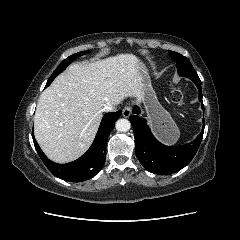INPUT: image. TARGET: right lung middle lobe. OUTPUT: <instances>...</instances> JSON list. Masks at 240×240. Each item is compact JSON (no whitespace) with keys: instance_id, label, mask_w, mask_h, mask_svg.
<instances>
[{"instance_id":"obj_1","label":"right lung middle lobe","mask_w":240,"mask_h":240,"mask_svg":"<svg viewBox=\"0 0 240 240\" xmlns=\"http://www.w3.org/2000/svg\"><path fill=\"white\" fill-rule=\"evenodd\" d=\"M89 53V51H81L78 52L74 55L69 56L68 58L64 59L59 66L55 69V71L53 72V74L50 76V78L47 81L46 86H49L50 83L54 80V78L61 73L63 70L66 69V67L71 63V61H73L74 59L78 58L79 56H82L84 54Z\"/></svg>"}]
</instances>
